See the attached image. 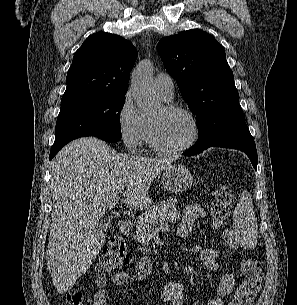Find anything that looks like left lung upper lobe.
<instances>
[{
    "label": "left lung upper lobe",
    "mask_w": 297,
    "mask_h": 305,
    "mask_svg": "<svg viewBox=\"0 0 297 305\" xmlns=\"http://www.w3.org/2000/svg\"><path fill=\"white\" fill-rule=\"evenodd\" d=\"M158 53L176 80L183 99L196 116L199 146L203 138L216 140L245 121L222 45L198 29L161 39Z\"/></svg>",
    "instance_id": "1"
}]
</instances>
